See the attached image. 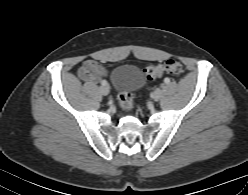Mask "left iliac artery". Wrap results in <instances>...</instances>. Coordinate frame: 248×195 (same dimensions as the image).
<instances>
[{"label":"left iliac artery","mask_w":248,"mask_h":195,"mask_svg":"<svg viewBox=\"0 0 248 195\" xmlns=\"http://www.w3.org/2000/svg\"><path fill=\"white\" fill-rule=\"evenodd\" d=\"M164 82H165L166 84H168V83L170 82V79H169V78H166V79L164 80Z\"/></svg>","instance_id":"left-iliac-artery-1"}]
</instances>
